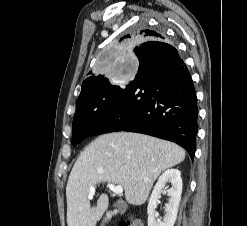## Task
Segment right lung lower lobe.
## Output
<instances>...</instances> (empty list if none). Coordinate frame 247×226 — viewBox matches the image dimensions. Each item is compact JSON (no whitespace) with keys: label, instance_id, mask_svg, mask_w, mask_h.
Listing matches in <instances>:
<instances>
[{"label":"right lung lower lobe","instance_id":"right-lung-lower-lobe-1","mask_svg":"<svg viewBox=\"0 0 247 226\" xmlns=\"http://www.w3.org/2000/svg\"><path fill=\"white\" fill-rule=\"evenodd\" d=\"M138 73L92 135L132 131L173 141L195 154L197 98L192 78L177 50L145 42L135 50Z\"/></svg>","mask_w":247,"mask_h":226}]
</instances>
